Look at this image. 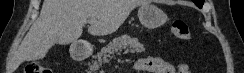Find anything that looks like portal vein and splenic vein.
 <instances>
[{
  "label": "portal vein and splenic vein",
  "instance_id": "1",
  "mask_svg": "<svg viewBox=\"0 0 244 73\" xmlns=\"http://www.w3.org/2000/svg\"><path fill=\"white\" fill-rule=\"evenodd\" d=\"M95 21H96L95 19H89L86 22L89 23V24H93V23H95Z\"/></svg>",
  "mask_w": 244,
  "mask_h": 73
}]
</instances>
